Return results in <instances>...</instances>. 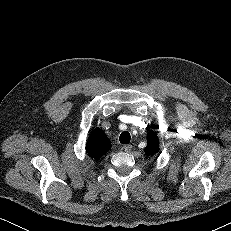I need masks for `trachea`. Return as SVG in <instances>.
Instances as JSON below:
<instances>
[{"instance_id": "3493384b", "label": "trachea", "mask_w": 231, "mask_h": 231, "mask_svg": "<svg viewBox=\"0 0 231 231\" xmlns=\"http://www.w3.org/2000/svg\"><path fill=\"white\" fill-rule=\"evenodd\" d=\"M130 139H131L130 133L126 131L122 132L119 137L120 143L122 144H129Z\"/></svg>"}]
</instances>
